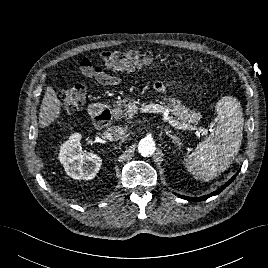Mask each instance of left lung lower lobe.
<instances>
[{"label":"left lung lower lobe","instance_id":"left-lung-lower-lobe-1","mask_svg":"<svg viewBox=\"0 0 268 268\" xmlns=\"http://www.w3.org/2000/svg\"><path fill=\"white\" fill-rule=\"evenodd\" d=\"M238 173H236L226 184H224L222 187H220L218 190L214 191L213 193H210L208 195L202 196V197H187L183 195H178V197L188 200V201H203L208 199L211 196L219 194L223 189H225L237 176Z\"/></svg>","mask_w":268,"mask_h":268}]
</instances>
